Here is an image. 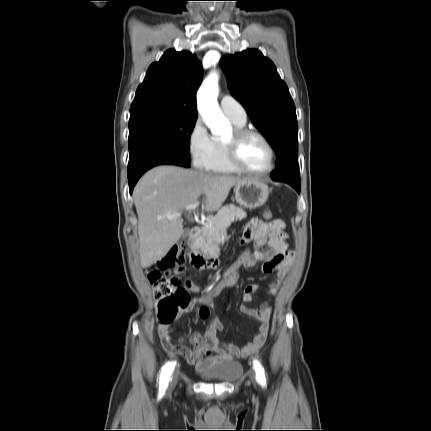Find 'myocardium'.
<instances>
[{"instance_id": "obj_1", "label": "myocardium", "mask_w": 431, "mask_h": 431, "mask_svg": "<svg viewBox=\"0 0 431 431\" xmlns=\"http://www.w3.org/2000/svg\"><path fill=\"white\" fill-rule=\"evenodd\" d=\"M249 136H256L259 139L263 141V143L266 145V147L269 150L270 153V164L267 168L262 170H256L251 169L247 167L241 160L239 155V148L242 143V141L249 137ZM226 150H227V157L231 165L238 171L242 173H248V174H267L270 173L274 168L276 164V152L274 147L272 146L269 139L260 131L250 128H235L232 132V136L229 139H226L224 141Z\"/></svg>"}]
</instances>
